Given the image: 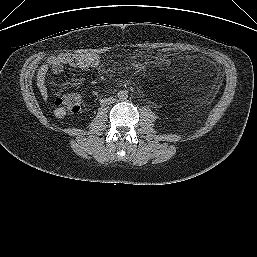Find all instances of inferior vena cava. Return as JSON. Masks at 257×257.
<instances>
[{
    "label": "inferior vena cava",
    "mask_w": 257,
    "mask_h": 257,
    "mask_svg": "<svg viewBox=\"0 0 257 257\" xmlns=\"http://www.w3.org/2000/svg\"><path fill=\"white\" fill-rule=\"evenodd\" d=\"M112 100H113V99H111V98H108V100H107V101H108V103H110Z\"/></svg>",
    "instance_id": "obj_1"
}]
</instances>
